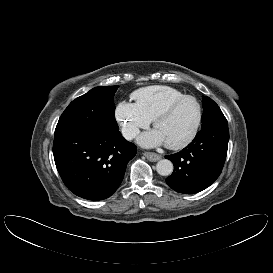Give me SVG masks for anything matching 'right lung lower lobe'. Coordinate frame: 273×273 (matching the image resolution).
Masks as SVG:
<instances>
[{"label":"right lung lower lobe","instance_id":"98d812e1","mask_svg":"<svg viewBox=\"0 0 273 273\" xmlns=\"http://www.w3.org/2000/svg\"><path fill=\"white\" fill-rule=\"evenodd\" d=\"M137 151L119 131L63 130L54 135L53 155L66 187L88 200H103L121 184Z\"/></svg>","mask_w":273,"mask_h":273}]
</instances>
